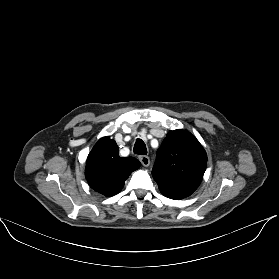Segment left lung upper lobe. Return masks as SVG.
I'll return each mask as SVG.
<instances>
[{
	"instance_id": "left-lung-upper-lobe-1",
	"label": "left lung upper lobe",
	"mask_w": 279,
	"mask_h": 279,
	"mask_svg": "<svg viewBox=\"0 0 279 279\" xmlns=\"http://www.w3.org/2000/svg\"><path fill=\"white\" fill-rule=\"evenodd\" d=\"M207 165V155L190 132L170 131L157 151L152 175L160 192L171 199L190 196L200 185Z\"/></svg>"
}]
</instances>
